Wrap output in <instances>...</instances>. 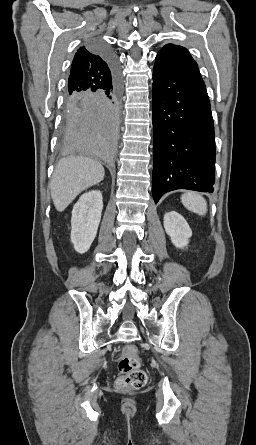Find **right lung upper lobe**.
<instances>
[{
    "label": "right lung upper lobe",
    "mask_w": 256,
    "mask_h": 445,
    "mask_svg": "<svg viewBox=\"0 0 256 445\" xmlns=\"http://www.w3.org/2000/svg\"><path fill=\"white\" fill-rule=\"evenodd\" d=\"M110 70L101 52L88 44L74 56L68 79L67 97L102 89L110 81Z\"/></svg>",
    "instance_id": "right-lung-upper-lobe-1"
}]
</instances>
